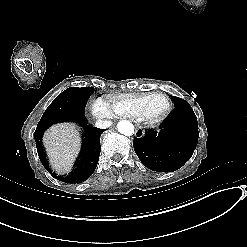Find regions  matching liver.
Here are the masks:
<instances>
[{
  "instance_id": "liver-1",
  "label": "liver",
  "mask_w": 247,
  "mask_h": 247,
  "mask_svg": "<svg viewBox=\"0 0 247 247\" xmlns=\"http://www.w3.org/2000/svg\"><path fill=\"white\" fill-rule=\"evenodd\" d=\"M80 128L75 123H57L49 127L43 135V144L50 166L57 174L71 172L80 152Z\"/></svg>"
}]
</instances>
